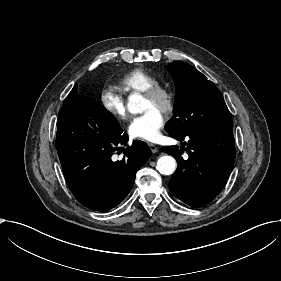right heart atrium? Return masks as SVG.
Returning a JSON list of instances; mask_svg holds the SVG:
<instances>
[{"mask_svg": "<svg viewBox=\"0 0 281 281\" xmlns=\"http://www.w3.org/2000/svg\"><path fill=\"white\" fill-rule=\"evenodd\" d=\"M100 102L105 112L120 119L126 118V105L123 97L112 87L100 91Z\"/></svg>", "mask_w": 281, "mask_h": 281, "instance_id": "d8ad5b80", "label": "right heart atrium"}]
</instances>
